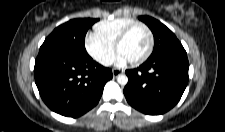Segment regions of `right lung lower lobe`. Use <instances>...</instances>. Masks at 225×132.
I'll return each mask as SVG.
<instances>
[{
	"instance_id": "right-lung-lower-lobe-1",
	"label": "right lung lower lobe",
	"mask_w": 225,
	"mask_h": 132,
	"mask_svg": "<svg viewBox=\"0 0 225 132\" xmlns=\"http://www.w3.org/2000/svg\"><path fill=\"white\" fill-rule=\"evenodd\" d=\"M35 82L45 104L67 117H79L100 100L113 75L88 54L40 49L35 60Z\"/></svg>"
}]
</instances>
